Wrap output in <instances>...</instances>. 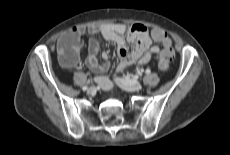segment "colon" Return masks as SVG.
Masks as SVG:
<instances>
[{
  "mask_svg": "<svg viewBox=\"0 0 230 155\" xmlns=\"http://www.w3.org/2000/svg\"><path fill=\"white\" fill-rule=\"evenodd\" d=\"M153 37L162 41L167 37L166 32L162 30H155L153 32ZM77 37H69L65 41L59 43L58 47V58L65 65H73L76 62V46L78 45ZM174 55V50L172 47H166L163 49L160 55L159 68L161 70H167L169 68L170 61Z\"/></svg>",
  "mask_w": 230,
  "mask_h": 155,
  "instance_id": "colon-1",
  "label": "colon"
}]
</instances>
